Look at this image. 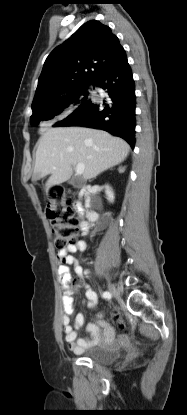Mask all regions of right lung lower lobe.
Returning <instances> with one entry per match:
<instances>
[{"mask_svg":"<svg viewBox=\"0 0 187 415\" xmlns=\"http://www.w3.org/2000/svg\"><path fill=\"white\" fill-rule=\"evenodd\" d=\"M108 94L103 104L84 101L77 110L54 126H83L105 130L135 143V85L125 51L93 82Z\"/></svg>","mask_w":187,"mask_h":415,"instance_id":"98d812e1","label":"right lung lower lobe"}]
</instances>
